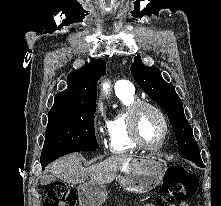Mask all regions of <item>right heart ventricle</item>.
<instances>
[{
    "label": "right heart ventricle",
    "mask_w": 221,
    "mask_h": 206,
    "mask_svg": "<svg viewBox=\"0 0 221 206\" xmlns=\"http://www.w3.org/2000/svg\"><path fill=\"white\" fill-rule=\"evenodd\" d=\"M117 98L122 104L123 112L115 115L107 124L109 148L113 153H124L136 150L138 147L133 143L128 127L129 108L138 101L134 92L115 91Z\"/></svg>",
    "instance_id": "e07e8e85"
}]
</instances>
